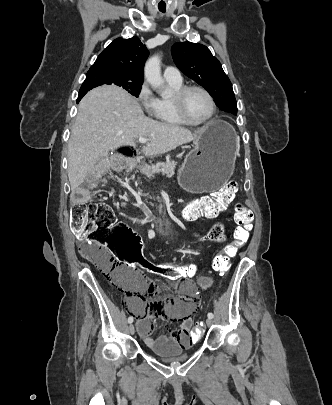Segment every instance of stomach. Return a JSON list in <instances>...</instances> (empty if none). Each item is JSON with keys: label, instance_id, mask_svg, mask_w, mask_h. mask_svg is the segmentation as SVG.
I'll return each mask as SVG.
<instances>
[{"label": "stomach", "instance_id": "obj_1", "mask_svg": "<svg viewBox=\"0 0 332 405\" xmlns=\"http://www.w3.org/2000/svg\"><path fill=\"white\" fill-rule=\"evenodd\" d=\"M237 152L234 128L223 120L208 122L180 166L178 182L193 193L222 188L233 174Z\"/></svg>", "mask_w": 332, "mask_h": 405}]
</instances>
